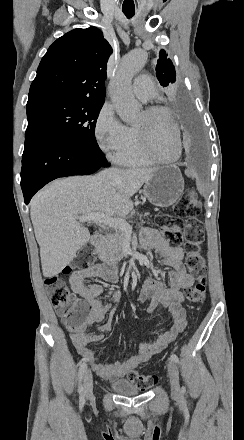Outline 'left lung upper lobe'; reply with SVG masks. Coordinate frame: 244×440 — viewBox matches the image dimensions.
I'll use <instances>...</instances> for the list:
<instances>
[{
	"instance_id": "1",
	"label": "left lung upper lobe",
	"mask_w": 244,
	"mask_h": 440,
	"mask_svg": "<svg viewBox=\"0 0 244 440\" xmlns=\"http://www.w3.org/2000/svg\"><path fill=\"white\" fill-rule=\"evenodd\" d=\"M156 76L161 86L166 87L176 81V72L174 65L164 50L160 51L159 59L156 65Z\"/></svg>"
}]
</instances>
